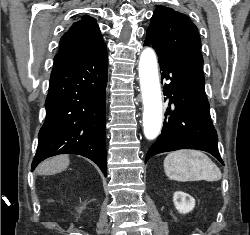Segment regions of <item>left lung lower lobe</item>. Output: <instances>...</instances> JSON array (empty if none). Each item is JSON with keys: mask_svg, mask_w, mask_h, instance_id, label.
I'll return each instance as SVG.
<instances>
[{"mask_svg": "<svg viewBox=\"0 0 250 235\" xmlns=\"http://www.w3.org/2000/svg\"><path fill=\"white\" fill-rule=\"evenodd\" d=\"M144 45L151 44L145 40ZM155 50L162 71L161 81L169 82L164 84L168 108L162 133L149 149L145 163L162 152L197 149L212 154L224 165L218 151L217 133L210 119L200 50Z\"/></svg>", "mask_w": 250, "mask_h": 235, "instance_id": "1", "label": "left lung lower lobe"}]
</instances>
